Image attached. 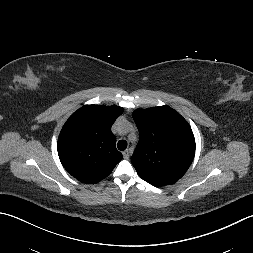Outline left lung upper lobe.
I'll return each mask as SVG.
<instances>
[{
    "instance_id": "obj_1",
    "label": "left lung upper lobe",
    "mask_w": 253,
    "mask_h": 253,
    "mask_svg": "<svg viewBox=\"0 0 253 253\" xmlns=\"http://www.w3.org/2000/svg\"><path fill=\"white\" fill-rule=\"evenodd\" d=\"M133 119L139 142L131 162L139 176L156 187L177 182L190 167L195 153L188 122L167 105L137 109Z\"/></svg>"
}]
</instances>
